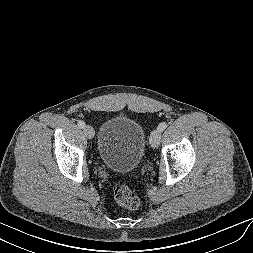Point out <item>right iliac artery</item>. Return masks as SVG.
<instances>
[{
  "label": "right iliac artery",
  "instance_id": "1",
  "mask_svg": "<svg viewBox=\"0 0 253 253\" xmlns=\"http://www.w3.org/2000/svg\"><path fill=\"white\" fill-rule=\"evenodd\" d=\"M78 126L80 127V128H84L85 126H86V124H85V122L84 121H78Z\"/></svg>",
  "mask_w": 253,
  "mask_h": 253
}]
</instances>
